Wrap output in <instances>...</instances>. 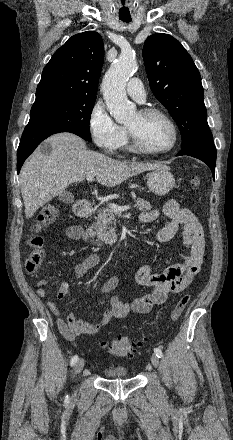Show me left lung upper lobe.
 <instances>
[{
  "label": "left lung upper lobe",
  "instance_id": "left-lung-upper-lobe-1",
  "mask_svg": "<svg viewBox=\"0 0 233 440\" xmlns=\"http://www.w3.org/2000/svg\"><path fill=\"white\" fill-rule=\"evenodd\" d=\"M143 59L153 94L180 129L181 147L212 138L201 76L181 43L168 34L151 35L145 41Z\"/></svg>",
  "mask_w": 233,
  "mask_h": 440
}]
</instances>
